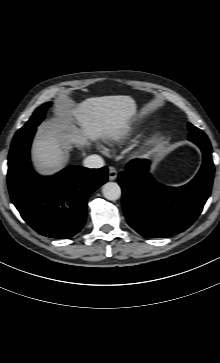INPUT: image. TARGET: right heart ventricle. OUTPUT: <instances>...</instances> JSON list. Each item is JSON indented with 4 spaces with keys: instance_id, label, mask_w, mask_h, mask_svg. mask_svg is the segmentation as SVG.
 <instances>
[{
    "instance_id": "1",
    "label": "right heart ventricle",
    "mask_w": 220,
    "mask_h": 363,
    "mask_svg": "<svg viewBox=\"0 0 220 363\" xmlns=\"http://www.w3.org/2000/svg\"><path fill=\"white\" fill-rule=\"evenodd\" d=\"M130 132L131 127L129 125H121L111 133L110 139L115 142H121L129 135Z\"/></svg>"
}]
</instances>
